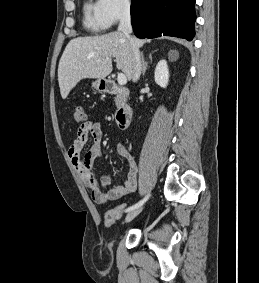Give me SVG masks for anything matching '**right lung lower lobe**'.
I'll list each match as a JSON object with an SVG mask.
<instances>
[{"instance_id":"right-lung-lower-lobe-1","label":"right lung lower lobe","mask_w":259,"mask_h":283,"mask_svg":"<svg viewBox=\"0 0 259 283\" xmlns=\"http://www.w3.org/2000/svg\"><path fill=\"white\" fill-rule=\"evenodd\" d=\"M195 0H132L131 21L139 38L161 35L192 40Z\"/></svg>"}]
</instances>
